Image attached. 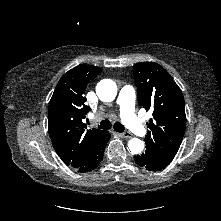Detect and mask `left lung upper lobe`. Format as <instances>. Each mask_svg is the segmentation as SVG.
Returning a JSON list of instances; mask_svg holds the SVG:
<instances>
[{
	"instance_id": "1",
	"label": "left lung upper lobe",
	"mask_w": 221,
	"mask_h": 221,
	"mask_svg": "<svg viewBox=\"0 0 221 221\" xmlns=\"http://www.w3.org/2000/svg\"><path fill=\"white\" fill-rule=\"evenodd\" d=\"M134 81L139 106L153 111V118L147 122L146 149L171 161L186 129L183 93L172 76L154 62L137 63Z\"/></svg>"
}]
</instances>
